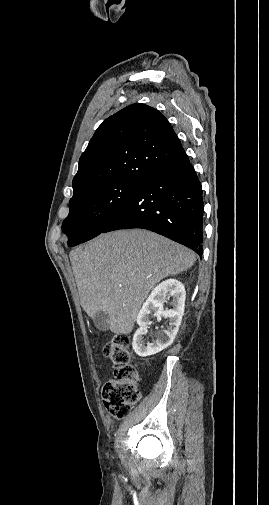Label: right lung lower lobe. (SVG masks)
<instances>
[{
  "instance_id": "obj_1",
  "label": "right lung lower lobe",
  "mask_w": 269,
  "mask_h": 505,
  "mask_svg": "<svg viewBox=\"0 0 269 505\" xmlns=\"http://www.w3.org/2000/svg\"><path fill=\"white\" fill-rule=\"evenodd\" d=\"M203 220L201 183L185 153L151 173L102 233L148 229L201 256Z\"/></svg>"
}]
</instances>
